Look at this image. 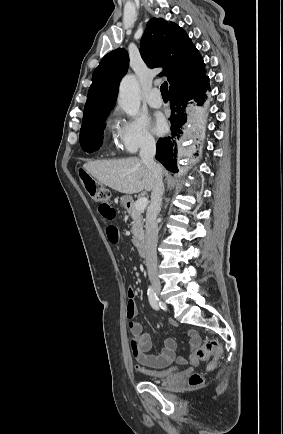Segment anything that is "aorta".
Segmentation results:
<instances>
[{
    "mask_svg": "<svg viewBox=\"0 0 283 434\" xmlns=\"http://www.w3.org/2000/svg\"><path fill=\"white\" fill-rule=\"evenodd\" d=\"M141 104L140 88L133 75L125 76L119 86L118 105L129 116H136Z\"/></svg>",
    "mask_w": 283,
    "mask_h": 434,
    "instance_id": "aorta-1",
    "label": "aorta"
}]
</instances>
